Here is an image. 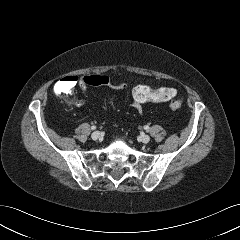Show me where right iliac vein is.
<instances>
[{
  "label": "right iliac vein",
  "mask_w": 240,
  "mask_h": 240,
  "mask_svg": "<svg viewBox=\"0 0 240 240\" xmlns=\"http://www.w3.org/2000/svg\"><path fill=\"white\" fill-rule=\"evenodd\" d=\"M102 137V134L99 131H95L92 133L91 138L93 140H100Z\"/></svg>",
  "instance_id": "right-iliac-vein-1"
}]
</instances>
